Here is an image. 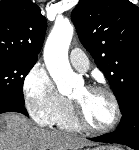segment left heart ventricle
<instances>
[{"label":"left heart ventricle","instance_id":"b2bd125f","mask_svg":"<svg viewBox=\"0 0 139 150\" xmlns=\"http://www.w3.org/2000/svg\"><path fill=\"white\" fill-rule=\"evenodd\" d=\"M71 99L80 103L85 119L96 128L108 126L114 115L110 98L103 92L90 91L80 86L72 94Z\"/></svg>","mask_w":139,"mask_h":150}]
</instances>
